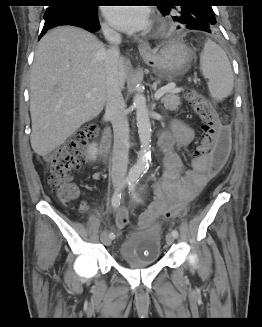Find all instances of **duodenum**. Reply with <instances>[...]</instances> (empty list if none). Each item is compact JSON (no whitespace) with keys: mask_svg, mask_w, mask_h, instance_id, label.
Returning <instances> with one entry per match:
<instances>
[{"mask_svg":"<svg viewBox=\"0 0 262 327\" xmlns=\"http://www.w3.org/2000/svg\"><path fill=\"white\" fill-rule=\"evenodd\" d=\"M111 143H112L111 131L108 127H106L103 131V135L101 138V147H100L101 148L100 153L104 160H107L109 158Z\"/></svg>","mask_w":262,"mask_h":327,"instance_id":"410a0bca","label":"duodenum"}]
</instances>
